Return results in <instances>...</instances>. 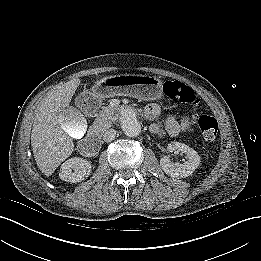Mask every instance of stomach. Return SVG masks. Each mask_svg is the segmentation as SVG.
I'll use <instances>...</instances> for the list:
<instances>
[{"mask_svg": "<svg viewBox=\"0 0 261 261\" xmlns=\"http://www.w3.org/2000/svg\"><path fill=\"white\" fill-rule=\"evenodd\" d=\"M90 95V103L114 96L154 100L162 96V82L156 77L145 75H115L97 81Z\"/></svg>", "mask_w": 261, "mask_h": 261, "instance_id": "0dacf381", "label": "stomach"}]
</instances>
